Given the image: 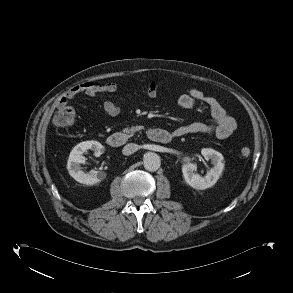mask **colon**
<instances>
[{
  "label": "colon",
  "mask_w": 293,
  "mask_h": 293,
  "mask_svg": "<svg viewBox=\"0 0 293 293\" xmlns=\"http://www.w3.org/2000/svg\"><path fill=\"white\" fill-rule=\"evenodd\" d=\"M74 117L75 112L72 107L68 106L67 104H60L58 105L53 116V124L58 130L64 129L73 122ZM250 153V149L247 147H244L240 150V156L242 158H248Z\"/></svg>",
  "instance_id": "colon-1"
}]
</instances>
